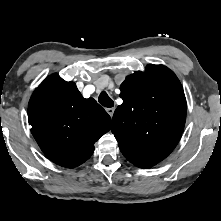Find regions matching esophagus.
<instances>
[{
    "instance_id": "34e87169",
    "label": "esophagus",
    "mask_w": 221,
    "mask_h": 221,
    "mask_svg": "<svg viewBox=\"0 0 221 221\" xmlns=\"http://www.w3.org/2000/svg\"><path fill=\"white\" fill-rule=\"evenodd\" d=\"M107 113L112 117L115 111L114 107L106 108Z\"/></svg>"
}]
</instances>
